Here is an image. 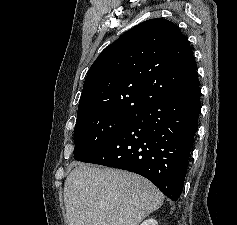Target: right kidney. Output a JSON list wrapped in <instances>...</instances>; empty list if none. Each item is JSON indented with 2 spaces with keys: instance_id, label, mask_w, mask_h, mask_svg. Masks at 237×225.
I'll use <instances>...</instances> for the list:
<instances>
[{
  "instance_id": "1",
  "label": "right kidney",
  "mask_w": 237,
  "mask_h": 225,
  "mask_svg": "<svg viewBox=\"0 0 237 225\" xmlns=\"http://www.w3.org/2000/svg\"><path fill=\"white\" fill-rule=\"evenodd\" d=\"M140 225H158V222L155 219L150 218L142 222Z\"/></svg>"
}]
</instances>
